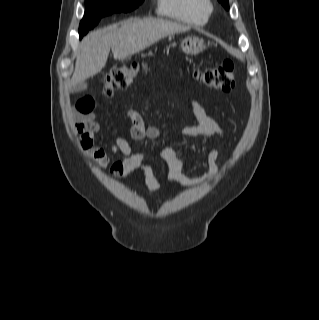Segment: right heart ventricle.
Wrapping results in <instances>:
<instances>
[{"label": "right heart ventricle", "mask_w": 319, "mask_h": 320, "mask_svg": "<svg viewBox=\"0 0 319 320\" xmlns=\"http://www.w3.org/2000/svg\"><path fill=\"white\" fill-rule=\"evenodd\" d=\"M212 11L210 0H158L157 13L188 24L207 23Z\"/></svg>", "instance_id": "obj_1"}]
</instances>
